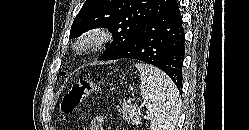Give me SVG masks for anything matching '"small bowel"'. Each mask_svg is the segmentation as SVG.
<instances>
[{
  "label": "small bowel",
  "instance_id": "small-bowel-1",
  "mask_svg": "<svg viewBox=\"0 0 249 130\" xmlns=\"http://www.w3.org/2000/svg\"><path fill=\"white\" fill-rule=\"evenodd\" d=\"M104 119L102 116L95 117L91 124L89 130H104Z\"/></svg>",
  "mask_w": 249,
  "mask_h": 130
}]
</instances>
